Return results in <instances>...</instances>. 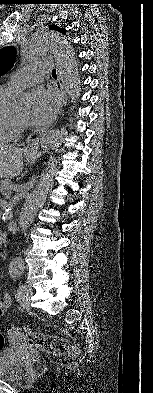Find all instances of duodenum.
Listing matches in <instances>:
<instances>
[{
  "label": "duodenum",
  "mask_w": 153,
  "mask_h": 393,
  "mask_svg": "<svg viewBox=\"0 0 153 393\" xmlns=\"http://www.w3.org/2000/svg\"><path fill=\"white\" fill-rule=\"evenodd\" d=\"M7 229L11 233H16L18 230V224L15 220L8 222Z\"/></svg>",
  "instance_id": "1"
}]
</instances>
